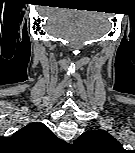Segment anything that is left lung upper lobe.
<instances>
[{"mask_svg": "<svg viewBox=\"0 0 135 153\" xmlns=\"http://www.w3.org/2000/svg\"><path fill=\"white\" fill-rule=\"evenodd\" d=\"M74 144L90 153H119L123 151L120 143L104 130L86 131Z\"/></svg>", "mask_w": 135, "mask_h": 153, "instance_id": "obj_1", "label": "left lung upper lobe"}]
</instances>
